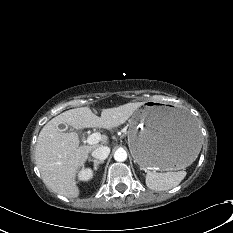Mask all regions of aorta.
<instances>
[{"mask_svg":"<svg viewBox=\"0 0 233 233\" xmlns=\"http://www.w3.org/2000/svg\"><path fill=\"white\" fill-rule=\"evenodd\" d=\"M114 159L123 162L127 159V152L123 148H118L114 153Z\"/></svg>","mask_w":233,"mask_h":233,"instance_id":"obj_1","label":"aorta"}]
</instances>
